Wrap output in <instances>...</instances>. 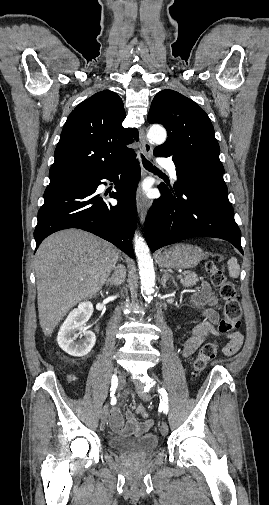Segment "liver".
I'll list each match as a JSON object with an SVG mask.
<instances>
[{
    "instance_id": "liver-1",
    "label": "liver",
    "mask_w": 269,
    "mask_h": 505,
    "mask_svg": "<svg viewBox=\"0 0 269 505\" xmlns=\"http://www.w3.org/2000/svg\"><path fill=\"white\" fill-rule=\"evenodd\" d=\"M120 251L78 229L46 238L35 255L40 326L46 336L77 303L95 296L115 267Z\"/></svg>"
}]
</instances>
